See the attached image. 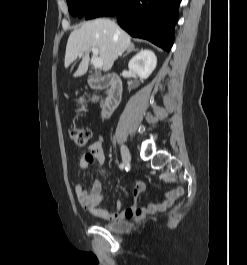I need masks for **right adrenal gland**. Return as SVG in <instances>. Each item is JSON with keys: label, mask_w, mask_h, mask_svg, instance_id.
I'll return each mask as SVG.
<instances>
[{"label": "right adrenal gland", "mask_w": 247, "mask_h": 265, "mask_svg": "<svg viewBox=\"0 0 247 265\" xmlns=\"http://www.w3.org/2000/svg\"><path fill=\"white\" fill-rule=\"evenodd\" d=\"M133 51H138V49H135L134 45H131L130 47H128L127 52L123 55V57L127 56L129 53Z\"/></svg>", "instance_id": "right-adrenal-gland-1"}]
</instances>
